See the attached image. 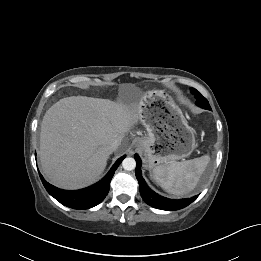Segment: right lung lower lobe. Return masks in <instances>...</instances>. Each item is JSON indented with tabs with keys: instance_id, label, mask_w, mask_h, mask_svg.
<instances>
[{
	"instance_id": "right-lung-lower-lobe-1",
	"label": "right lung lower lobe",
	"mask_w": 261,
	"mask_h": 261,
	"mask_svg": "<svg viewBox=\"0 0 261 261\" xmlns=\"http://www.w3.org/2000/svg\"><path fill=\"white\" fill-rule=\"evenodd\" d=\"M124 158L125 156L119 158L108 174L98 183L81 190L67 191L59 189L46 182L41 174L39 175L47 192L61 204L74 209H88L104 200L109 192L111 179Z\"/></svg>"
}]
</instances>
